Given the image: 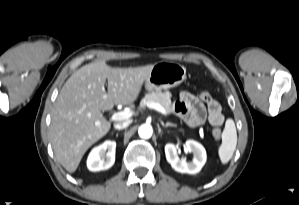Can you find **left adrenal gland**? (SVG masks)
Returning <instances> with one entry per match:
<instances>
[{"label":"left adrenal gland","mask_w":299,"mask_h":205,"mask_svg":"<svg viewBox=\"0 0 299 205\" xmlns=\"http://www.w3.org/2000/svg\"><path fill=\"white\" fill-rule=\"evenodd\" d=\"M162 126L163 127H177L176 124H173V123H170V122H167L166 124L161 122Z\"/></svg>","instance_id":"obj_1"}]
</instances>
